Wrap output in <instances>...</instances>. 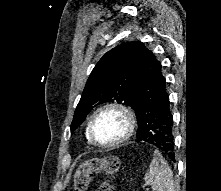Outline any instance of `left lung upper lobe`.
Wrapping results in <instances>:
<instances>
[{"mask_svg": "<svg viewBox=\"0 0 221 191\" xmlns=\"http://www.w3.org/2000/svg\"><path fill=\"white\" fill-rule=\"evenodd\" d=\"M146 47L139 41L123 43L108 51L92 70L76 107L71 131L103 102L122 103L134 109L133 89Z\"/></svg>", "mask_w": 221, "mask_h": 191, "instance_id": "obj_1", "label": "left lung upper lobe"}]
</instances>
